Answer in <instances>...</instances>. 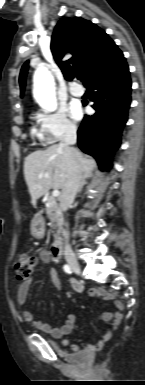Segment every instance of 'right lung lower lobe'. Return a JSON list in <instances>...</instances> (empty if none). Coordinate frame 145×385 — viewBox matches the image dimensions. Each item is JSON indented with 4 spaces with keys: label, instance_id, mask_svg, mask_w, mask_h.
<instances>
[{
    "label": "right lung lower lobe",
    "instance_id": "obj_1",
    "mask_svg": "<svg viewBox=\"0 0 145 385\" xmlns=\"http://www.w3.org/2000/svg\"><path fill=\"white\" fill-rule=\"evenodd\" d=\"M92 93L96 113L85 116L78 129L79 148L92 155L99 166L108 170L114 151L120 146V134L127 121L131 103V79L127 63L87 87Z\"/></svg>",
    "mask_w": 145,
    "mask_h": 385
}]
</instances>
